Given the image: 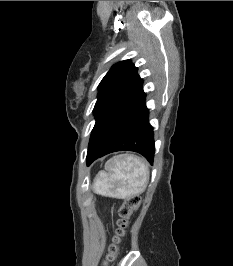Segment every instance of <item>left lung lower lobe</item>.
<instances>
[{
    "instance_id": "1",
    "label": "left lung lower lobe",
    "mask_w": 233,
    "mask_h": 266,
    "mask_svg": "<svg viewBox=\"0 0 233 266\" xmlns=\"http://www.w3.org/2000/svg\"><path fill=\"white\" fill-rule=\"evenodd\" d=\"M142 84L138 76L99 117L89 141L88 165L108 153L124 150L138 152L153 164L154 135Z\"/></svg>"
}]
</instances>
